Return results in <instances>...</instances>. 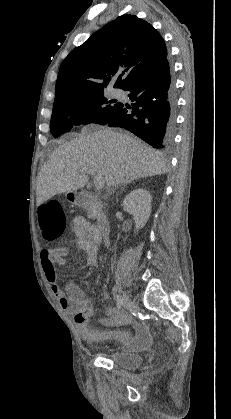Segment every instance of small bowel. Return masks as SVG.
I'll return each mask as SVG.
<instances>
[{
  "label": "small bowel",
  "mask_w": 231,
  "mask_h": 419,
  "mask_svg": "<svg viewBox=\"0 0 231 419\" xmlns=\"http://www.w3.org/2000/svg\"><path fill=\"white\" fill-rule=\"evenodd\" d=\"M73 231L75 243L78 250L85 253V263L88 267L97 266V255L100 244V236L97 227L90 223L83 216H76L73 219ZM68 249L56 247L45 249L41 253V263L44 274L53 294L57 297L61 307L73 315L79 334L89 343H97L101 340H115L120 343L124 350H138L146 347L149 332L146 328L133 321L128 314L118 311H110L107 317L101 319L105 327H117L116 329L100 332L92 329L88 324L91 315V303L86 297L84 290L75 283H68L65 290L59 286L54 266L68 264ZM89 309V314L84 310ZM123 326H131L132 333Z\"/></svg>",
  "instance_id": "1"
}]
</instances>
